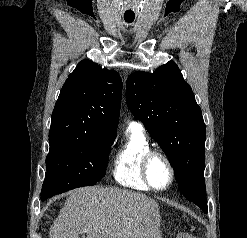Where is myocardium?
Segmentation results:
<instances>
[{
    "mask_svg": "<svg viewBox=\"0 0 247 238\" xmlns=\"http://www.w3.org/2000/svg\"><path fill=\"white\" fill-rule=\"evenodd\" d=\"M155 157H160L161 159H163L165 161V163L167 164L169 171H170V179H169L168 183L163 187L155 186L152 183L150 176H149V165H150L152 159ZM141 174H142L143 180L149 186L150 189L156 190V191H163V190L168 189L173 184V182L175 180V176H176V171H175V167H174L170 157L166 153H164L160 150H150L146 153V155L144 156V158L142 160Z\"/></svg>",
    "mask_w": 247,
    "mask_h": 238,
    "instance_id": "myocardium-1",
    "label": "myocardium"
}]
</instances>
